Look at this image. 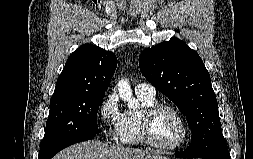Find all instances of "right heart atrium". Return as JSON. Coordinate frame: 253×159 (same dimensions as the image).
<instances>
[{
	"mask_svg": "<svg viewBox=\"0 0 253 159\" xmlns=\"http://www.w3.org/2000/svg\"><path fill=\"white\" fill-rule=\"evenodd\" d=\"M99 117L109 136L119 139L124 113L115 93H110L103 98L99 105Z\"/></svg>",
	"mask_w": 253,
	"mask_h": 159,
	"instance_id": "right-heart-atrium-1",
	"label": "right heart atrium"
}]
</instances>
